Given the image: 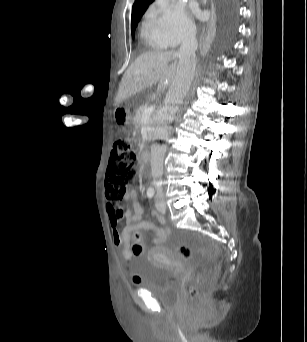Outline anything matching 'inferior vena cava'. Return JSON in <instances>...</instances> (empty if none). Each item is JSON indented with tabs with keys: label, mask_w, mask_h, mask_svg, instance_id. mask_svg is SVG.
<instances>
[{
	"label": "inferior vena cava",
	"mask_w": 307,
	"mask_h": 342,
	"mask_svg": "<svg viewBox=\"0 0 307 342\" xmlns=\"http://www.w3.org/2000/svg\"><path fill=\"white\" fill-rule=\"evenodd\" d=\"M197 46L196 30L190 28L185 38H183V42L177 52L179 62L176 76L164 100V104L167 106L165 120H167L168 124L175 118L176 106H178V104H183V100L187 92H189L197 64L195 56ZM157 132L159 136H161V140H166V142H168L169 138L166 128H157ZM166 150L167 146L151 148L152 184L155 186L157 192H162L163 164Z\"/></svg>",
	"instance_id": "1"
}]
</instances>
